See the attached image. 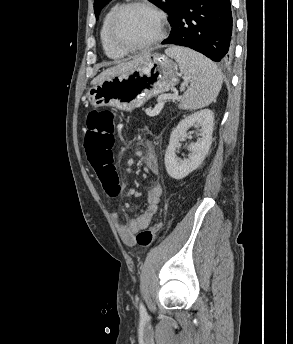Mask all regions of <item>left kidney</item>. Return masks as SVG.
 Instances as JSON below:
<instances>
[{
    "mask_svg": "<svg viewBox=\"0 0 293 344\" xmlns=\"http://www.w3.org/2000/svg\"><path fill=\"white\" fill-rule=\"evenodd\" d=\"M192 126L201 127V138L191 143L190 155L182 160L176 155L178 142L186 137L187 130ZM213 127L214 114L209 109L195 112L178 123L170 135L165 153V167L170 177L176 180L183 179L202 164L212 144Z\"/></svg>",
    "mask_w": 293,
    "mask_h": 344,
    "instance_id": "1",
    "label": "left kidney"
}]
</instances>
